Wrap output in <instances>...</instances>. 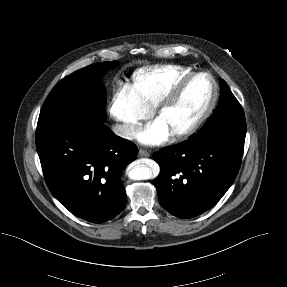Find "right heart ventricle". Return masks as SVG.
<instances>
[{
	"label": "right heart ventricle",
	"instance_id": "obj_1",
	"mask_svg": "<svg viewBox=\"0 0 287 287\" xmlns=\"http://www.w3.org/2000/svg\"><path fill=\"white\" fill-rule=\"evenodd\" d=\"M192 68L181 65H157L141 68L132 75L131 90L141 107L151 111L169 90Z\"/></svg>",
	"mask_w": 287,
	"mask_h": 287
}]
</instances>
